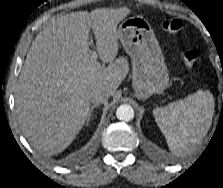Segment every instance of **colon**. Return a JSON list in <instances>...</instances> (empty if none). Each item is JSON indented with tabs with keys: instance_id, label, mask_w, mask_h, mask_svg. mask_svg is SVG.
Wrapping results in <instances>:
<instances>
[{
	"instance_id": "obj_1",
	"label": "colon",
	"mask_w": 223,
	"mask_h": 188,
	"mask_svg": "<svg viewBox=\"0 0 223 188\" xmlns=\"http://www.w3.org/2000/svg\"><path fill=\"white\" fill-rule=\"evenodd\" d=\"M183 24L179 19H166L162 23L163 30L168 34H178L181 32ZM199 58L198 50L187 48L182 53V60L185 66L193 67L196 65Z\"/></svg>"
}]
</instances>
